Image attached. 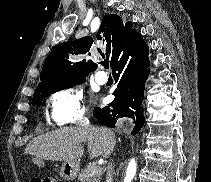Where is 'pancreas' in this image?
I'll use <instances>...</instances> for the list:
<instances>
[{
    "label": "pancreas",
    "mask_w": 211,
    "mask_h": 182,
    "mask_svg": "<svg viewBox=\"0 0 211 182\" xmlns=\"http://www.w3.org/2000/svg\"><path fill=\"white\" fill-rule=\"evenodd\" d=\"M101 174V168L93 162L81 170L78 180L80 182H100Z\"/></svg>",
    "instance_id": "pancreas-1"
}]
</instances>
